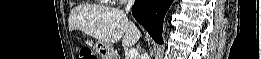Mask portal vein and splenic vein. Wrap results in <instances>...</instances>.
<instances>
[{"instance_id": "18ae733b", "label": "portal vein and splenic vein", "mask_w": 261, "mask_h": 59, "mask_svg": "<svg viewBox=\"0 0 261 59\" xmlns=\"http://www.w3.org/2000/svg\"><path fill=\"white\" fill-rule=\"evenodd\" d=\"M136 57H137V50L130 49L126 56V59H136Z\"/></svg>"}]
</instances>
